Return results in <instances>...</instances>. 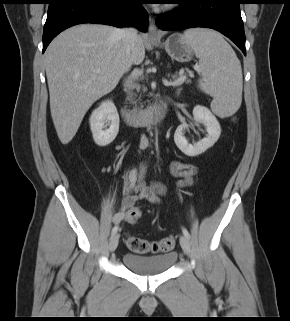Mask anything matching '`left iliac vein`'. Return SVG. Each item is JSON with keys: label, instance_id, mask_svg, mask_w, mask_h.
<instances>
[{"label": "left iliac vein", "instance_id": "4c4485c4", "mask_svg": "<svg viewBox=\"0 0 290 321\" xmlns=\"http://www.w3.org/2000/svg\"><path fill=\"white\" fill-rule=\"evenodd\" d=\"M180 244L182 249L189 254L190 253V242L189 239L185 235L180 236Z\"/></svg>", "mask_w": 290, "mask_h": 321}]
</instances>
